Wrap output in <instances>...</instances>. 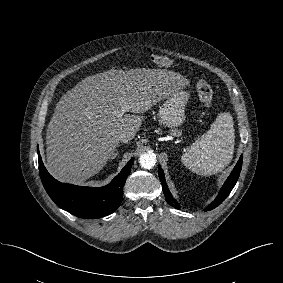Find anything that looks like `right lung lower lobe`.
Returning a JSON list of instances; mask_svg holds the SVG:
<instances>
[{
    "label": "right lung lower lobe",
    "mask_w": 283,
    "mask_h": 283,
    "mask_svg": "<svg viewBox=\"0 0 283 283\" xmlns=\"http://www.w3.org/2000/svg\"><path fill=\"white\" fill-rule=\"evenodd\" d=\"M39 172L45 190L57 206L80 218H101L114 212L121 204L123 187L134 158L104 187H82L54 179L44 167L39 150Z\"/></svg>",
    "instance_id": "98d812e1"
}]
</instances>
